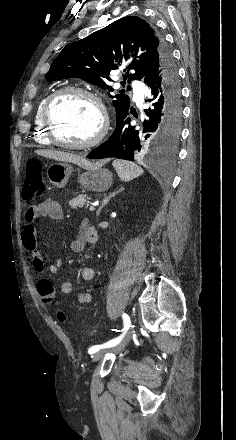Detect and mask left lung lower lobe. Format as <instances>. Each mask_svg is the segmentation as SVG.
I'll use <instances>...</instances> for the list:
<instances>
[{"instance_id": "obj_1", "label": "left lung lower lobe", "mask_w": 236, "mask_h": 440, "mask_svg": "<svg viewBox=\"0 0 236 440\" xmlns=\"http://www.w3.org/2000/svg\"><path fill=\"white\" fill-rule=\"evenodd\" d=\"M151 89L150 106L144 110L140 127L130 124L129 109L117 117L116 129L108 141L87 155L89 159L115 157L134 161L141 153L171 147L180 133L182 120L181 89L171 54L152 60L143 77Z\"/></svg>"}]
</instances>
